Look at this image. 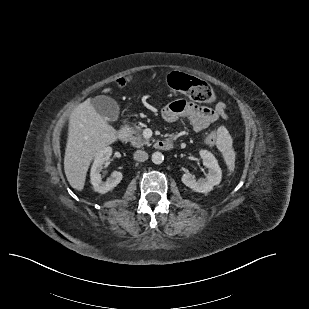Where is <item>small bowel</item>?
I'll use <instances>...</instances> for the list:
<instances>
[{
  "label": "small bowel",
  "mask_w": 309,
  "mask_h": 309,
  "mask_svg": "<svg viewBox=\"0 0 309 309\" xmlns=\"http://www.w3.org/2000/svg\"><path fill=\"white\" fill-rule=\"evenodd\" d=\"M227 105L218 103L215 108L200 106L185 100H177L162 109V116L168 122H175L180 117L189 120L195 131H203L220 119H227Z\"/></svg>",
  "instance_id": "obj_1"
}]
</instances>
